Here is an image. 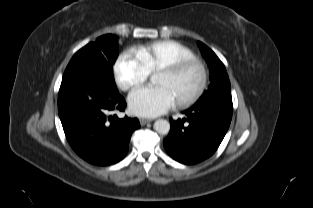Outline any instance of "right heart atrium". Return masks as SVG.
I'll return each mask as SVG.
<instances>
[{
    "label": "right heart atrium",
    "instance_id": "d8ad5b80",
    "mask_svg": "<svg viewBox=\"0 0 313 208\" xmlns=\"http://www.w3.org/2000/svg\"><path fill=\"white\" fill-rule=\"evenodd\" d=\"M114 76L118 86L128 91L140 86L149 72L134 51L122 53L114 64Z\"/></svg>",
    "mask_w": 313,
    "mask_h": 208
}]
</instances>
